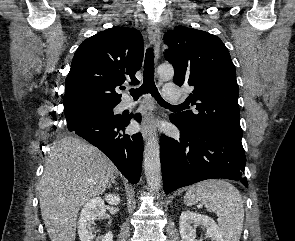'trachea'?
<instances>
[{"instance_id": "obj_1", "label": "trachea", "mask_w": 295, "mask_h": 241, "mask_svg": "<svg viewBox=\"0 0 295 241\" xmlns=\"http://www.w3.org/2000/svg\"><path fill=\"white\" fill-rule=\"evenodd\" d=\"M143 76L144 81L141 87L130 90V94L135 100L138 99L142 94L150 93L155 98V100L162 106L181 107V105L173 106L168 104L163 100V98L160 96L158 92V89L154 82V53L152 48L147 49L146 52ZM122 89L124 90L125 87H123Z\"/></svg>"}]
</instances>
